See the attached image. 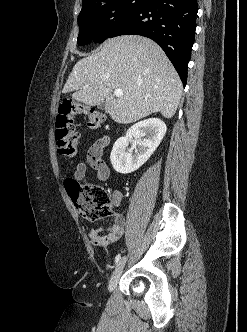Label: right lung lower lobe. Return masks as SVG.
<instances>
[{"mask_svg":"<svg viewBox=\"0 0 247 332\" xmlns=\"http://www.w3.org/2000/svg\"><path fill=\"white\" fill-rule=\"evenodd\" d=\"M197 12V0H147L121 20L109 37L137 34L151 38L164 50L185 86Z\"/></svg>","mask_w":247,"mask_h":332,"instance_id":"obj_1","label":"right lung lower lobe"}]
</instances>
